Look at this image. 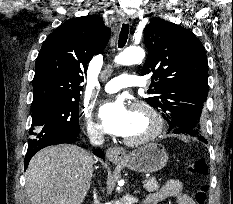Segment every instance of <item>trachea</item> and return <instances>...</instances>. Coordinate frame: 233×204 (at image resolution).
<instances>
[{"label":"trachea","instance_id":"obj_1","mask_svg":"<svg viewBox=\"0 0 233 204\" xmlns=\"http://www.w3.org/2000/svg\"><path fill=\"white\" fill-rule=\"evenodd\" d=\"M128 34H129V25L123 24L120 35H119V42H118L119 48H122L125 46L127 39H128Z\"/></svg>","mask_w":233,"mask_h":204}]
</instances>
